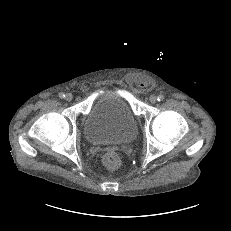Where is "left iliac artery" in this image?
Segmentation results:
<instances>
[{"mask_svg": "<svg viewBox=\"0 0 231 231\" xmlns=\"http://www.w3.org/2000/svg\"><path fill=\"white\" fill-rule=\"evenodd\" d=\"M157 100L160 102V101H163L164 100V96L163 95H159L158 97H157Z\"/></svg>", "mask_w": 231, "mask_h": 231, "instance_id": "44dca946", "label": "left iliac artery"}]
</instances>
